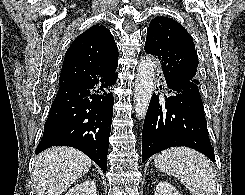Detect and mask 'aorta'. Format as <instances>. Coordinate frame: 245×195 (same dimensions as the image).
<instances>
[{
	"label": "aorta",
	"instance_id": "aorta-1",
	"mask_svg": "<svg viewBox=\"0 0 245 195\" xmlns=\"http://www.w3.org/2000/svg\"><path fill=\"white\" fill-rule=\"evenodd\" d=\"M154 68V62L149 56L143 57L137 68L134 88V108L139 120L144 119L146 116L153 93Z\"/></svg>",
	"mask_w": 245,
	"mask_h": 195
}]
</instances>
